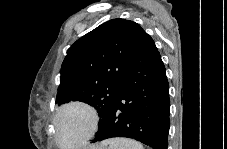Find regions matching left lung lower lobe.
I'll return each mask as SVG.
<instances>
[{
	"label": "left lung lower lobe",
	"instance_id": "0a47b994",
	"mask_svg": "<svg viewBox=\"0 0 227 149\" xmlns=\"http://www.w3.org/2000/svg\"><path fill=\"white\" fill-rule=\"evenodd\" d=\"M169 115L165 66L153 39L144 31L121 90L91 142L127 137L153 149H167Z\"/></svg>",
	"mask_w": 227,
	"mask_h": 149
}]
</instances>
